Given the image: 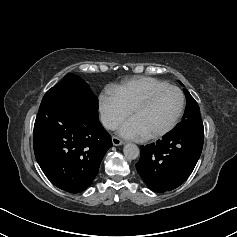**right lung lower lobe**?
I'll return each instance as SVG.
<instances>
[{
	"label": "right lung lower lobe",
	"mask_w": 237,
	"mask_h": 237,
	"mask_svg": "<svg viewBox=\"0 0 237 237\" xmlns=\"http://www.w3.org/2000/svg\"><path fill=\"white\" fill-rule=\"evenodd\" d=\"M33 145L47 178L64 191L79 193L97 175L112 140L97 111L79 108L48 90L35 120Z\"/></svg>",
	"instance_id": "right-lung-lower-lobe-1"
}]
</instances>
